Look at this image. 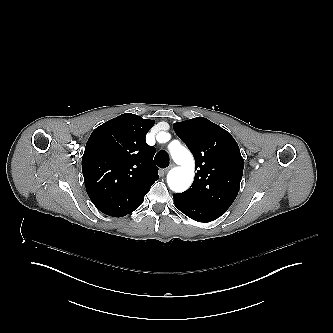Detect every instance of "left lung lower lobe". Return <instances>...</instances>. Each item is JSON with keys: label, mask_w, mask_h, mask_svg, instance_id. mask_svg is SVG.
<instances>
[{"label": "left lung lower lobe", "mask_w": 333, "mask_h": 333, "mask_svg": "<svg viewBox=\"0 0 333 333\" xmlns=\"http://www.w3.org/2000/svg\"><path fill=\"white\" fill-rule=\"evenodd\" d=\"M174 204L178 210H180L189 218L198 222L213 221L219 218L227 211L224 209L211 208L196 204L194 202L182 198L178 194H174Z\"/></svg>", "instance_id": "left-lung-lower-lobe-1"}]
</instances>
